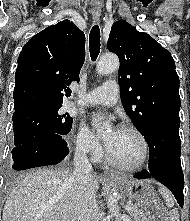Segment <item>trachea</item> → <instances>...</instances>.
<instances>
[{
    "mask_svg": "<svg viewBox=\"0 0 190 221\" xmlns=\"http://www.w3.org/2000/svg\"><path fill=\"white\" fill-rule=\"evenodd\" d=\"M100 29L98 25H94L89 34V48L92 61H95L100 52Z\"/></svg>",
    "mask_w": 190,
    "mask_h": 221,
    "instance_id": "1",
    "label": "trachea"
}]
</instances>
